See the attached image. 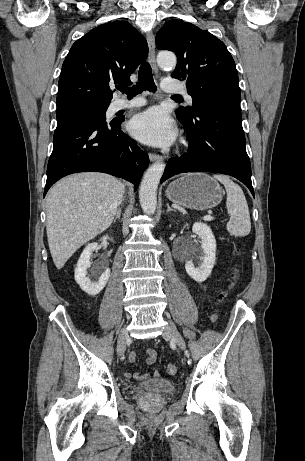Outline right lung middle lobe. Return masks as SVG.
<instances>
[{
	"label": "right lung middle lobe",
	"mask_w": 305,
	"mask_h": 461,
	"mask_svg": "<svg viewBox=\"0 0 305 461\" xmlns=\"http://www.w3.org/2000/svg\"><path fill=\"white\" fill-rule=\"evenodd\" d=\"M108 106V103L80 104L58 108L56 113L59 114L63 112H75L86 114L91 117H100L106 119L105 113Z\"/></svg>",
	"instance_id": "obj_1"
}]
</instances>
